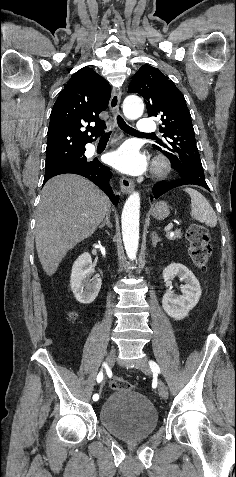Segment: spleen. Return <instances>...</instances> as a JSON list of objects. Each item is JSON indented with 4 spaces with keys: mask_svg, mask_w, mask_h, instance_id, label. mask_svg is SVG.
<instances>
[{
    "mask_svg": "<svg viewBox=\"0 0 236 477\" xmlns=\"http://www.w3.org/2000/svg\"><path fill=\"white\" fill-rule=\"evenodd\" d=\"M191 197V216L193 219L201 223H205L209 227L217 225V216L208 200L197 190L185 188Z\"/></svg>",
    "mask_w": 236,
    "mask_h": 477,
    "instance_id": "3e777b00",
    "label": "spleen"
}]
</instances>
